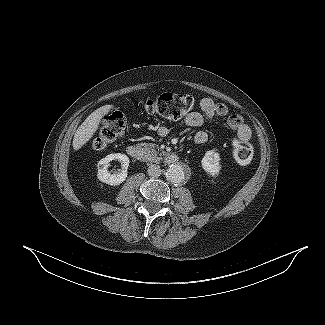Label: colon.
<instances>
[{
    "mask_svg": "<svg viewBox=\"0 0 325 325\" xmlns=\"http://www.w3.org/2000/svg\"><path fill=\"white\" fill-rule=\"evenodd\" d=\"M195 98L189 94L163 93L141 102V107L150 115L162 117L166 120L175 121L186 116L195 106ZM127 120L120 111L107 114L93 140L96 149L105 147L123 137L126 130ZM233 156L237 163L245 165L253 158V147L247 142L235 139L233 142Z\"/></svg>",
    "mask_w": 325,
    "mask_h": 325,
    "instance_id": "1",
    "label": "colon"
}]
</instances>
